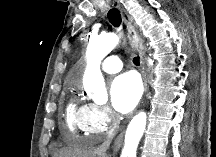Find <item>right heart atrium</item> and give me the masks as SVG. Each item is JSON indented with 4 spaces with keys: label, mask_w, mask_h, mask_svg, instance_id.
<instances>
[{
    "label": "right heart atrium",
    "mask_w": 216,
    "mask_h": 157,
    "mask_svg": "<svg viewBox=\"0 0 216 157\" xmlns=\"http://www.w3.org/2000/svg\"><path fill=\"white\" fill-rule=\"evenodd\" d=\"M114 122L115 116L108 107L91 103L87 106L82 127L88 134L103 135L111 131Z\"/></svg>",
    "instance_id": "d8ad5b80"
}]
</instances>
